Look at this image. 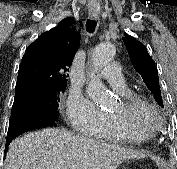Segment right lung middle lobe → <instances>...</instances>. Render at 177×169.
<instances>
[{"label": "right lung middle lobe", "mask_w": 177, "mask_h": 169, "mask_svg": "<svg viewBox=\"0 0 177 169\" xmlns=\"http://www.w3.org/2000/svg\"><path fill=\"white\" fill-rule=\"evenodd\" d=\"M65 86L54 89L29 88L15 95L11 115L44 114L59 118L60 93Z\"/></svg>", "instance_id": "dd1d6c3e"}]
</instances>
